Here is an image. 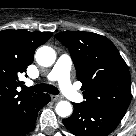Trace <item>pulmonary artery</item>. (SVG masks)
I'll use <instances>...</instances> for the list:
<instances>
[{"label":"pulmonary artery","instance_id":"pulmonary-artery-1","mask_svg":"<svg viewBox=\"0 0 136 136\" xmlns=\"http://www.w3.org/2000/svg\"><path fill=\"white\" fill-rule=\"evenodd\" d=\"M71 65L72 62L69 56H60L49 73L48 79L58 81L61 91L69 100L82 102V95L73 87L70 81Z\"/></svg>","mask_w":136,"mask_h":136}]
</instances>
